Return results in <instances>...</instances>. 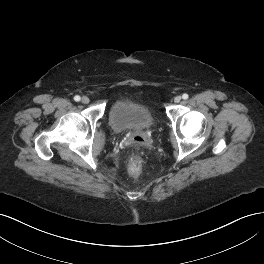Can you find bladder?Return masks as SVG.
Listing matches in <instances>:
<instances>
[{"label": "bladder", "instance_id": "obj_1", "mask_svg": "<svg viewBox=\"0 0 264 264\" xmlns=\"http://www.w3.org/2000/svg\"><path fill=\"white\" fill-rule=\"evenodd\" d=\"M111 128L116 132L130 129H148L154 124L149 108L131 99H119L113 102L108 111Z\"/></svg>", "mask_w": 264, "mask_h": 264}]
</instances>
